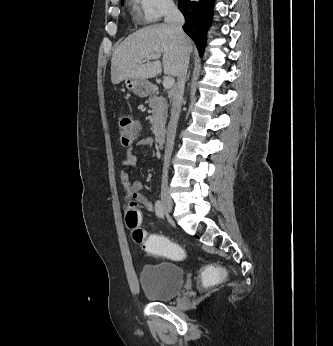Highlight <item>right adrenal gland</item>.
I'll return each mask as SVG.
<instances>
[{"label": "right adrenal gland", "mask_w": 333, "mask_h": 346, "mask_svg": "<svg viewBox=\"0 0 333 346\" xmlns=\"http://www.w3.org/2000/svg\"><path fill=\"white\" fill-rule=\"evenodd\" d=\"M189 77H190V71H189V73L187 74L186 82L188 81Z\"/></svg>", "instance_id": "1"}]
</instances>
